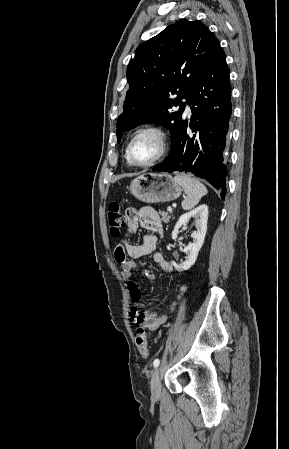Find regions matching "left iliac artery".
<instances>
[{
  "instance_id": "obj_1",
  "label": "left iliac artery",
  "mask_w": 289,
  "mask_h": 449,
  "mask_svg": "<svg viewBox=\"0 0 289 449\" xmlns=\"http://www.w3.org/2000/svg\"><path fill=\"white\" fill-rule=\"evenodd\" d=\"M159 364H160V360L158 358H156L153 362L154 368H157L159 366Z\"/></svg>"
}]
</instances>
